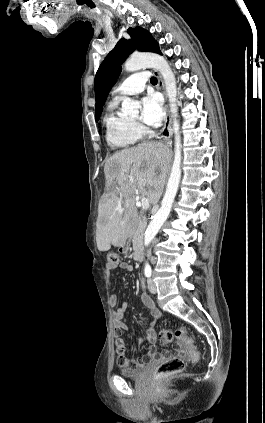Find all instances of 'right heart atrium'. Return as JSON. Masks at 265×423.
Masks as SVG:
<instances>
[{"label": "right heart atrium", "instance_id": "right-heart-atrium-1", "mask_svg": "<svg viewBox=\"0 0 265 423\" xmlns=\"http://www.w3.org/2000/svg\"><path fill=\"white\" fill-rule=\"evenodd\" d=\"M138 131L141 133L143 131L142 127L140 125H136Z\"/></svg>", "mask_w": 265, "mask_h": 423}]
</instances>
